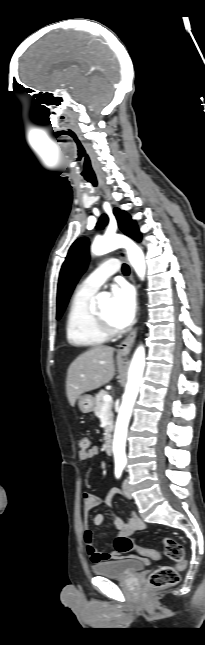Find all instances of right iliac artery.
Listing matches in <instances>:
<instances>
[{"label": "right iliac artery", "instance_id": "82829eb1", "mask_svg": "<svg viewBox=\"0 0 205 645\" xmlns=\"http://www.w3.org/2000/svg\"><path fill=\"white\" fill-rule=\"evenodd\" d=\"M122 471H123V466H116L115 467V476L117 478H120V476L122 474Z\"/></svg>", "mask_w": 205, "mask_h": 645}]
</instances>
